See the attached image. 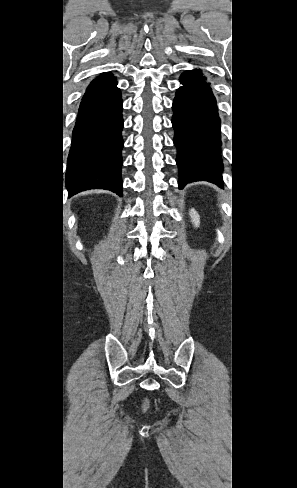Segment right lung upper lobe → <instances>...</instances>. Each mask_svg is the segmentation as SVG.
<instances>
[{
	"label": "right lung upper lobe",
	"instance_id": "cb5924a9",
	"mask_svg": "<svg viewBox=\"0 0 297 488\" xmlns=\"http://www.w3.org/2000/svg\"><path fill=\"white\" fill-rule=\"evenodd\" d=\"M112 74L110 73H102L97 79L93 80L91 84L88 86L86 90V94L90 93L91 91L95 90L98 88L102 83H104L106 80L112 78Z\"/></svg>",
	"mask_w": 297,
	"mask_h": 488
}]
</instances>
